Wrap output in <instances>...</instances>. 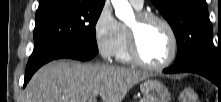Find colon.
I'll return each mask as SVG.
<instances>
[{
    "label": "colon",
    "instance_id": "5ec220e1",
    "mask_svg": "<svg viewBox=\"0 0 221 102\" xmlns=\"http://www.w3.org/2000/svg\"><path fill=\"white\" fill-rule=\"evenodd\" d=\"M180 102H200L199 96L192 88H184L179 97Z\"/></svg>",
    "mask_w": 221,
    "mask_h": 102
}]
</instances>
